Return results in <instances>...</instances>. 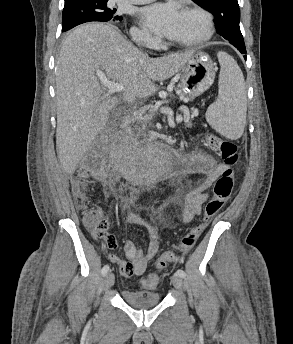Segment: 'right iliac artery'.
<instances>
[{
	"instance_id": "1",
	"label": "right iliac artery",
	"mask_w": 293,
	"mask_h": 344,
	"mask_svg": "<svg viewBox=\"0 0 293 344\" xmlns=\"http://www.w3.org/2000/svg\"><path fill=\"white\" fill-rule=\"evenodd\" d=\"M109 269H110L109 265H105L101 271L102 275L105 276L108 273Z\"/></svg>"
}]
</instances>
